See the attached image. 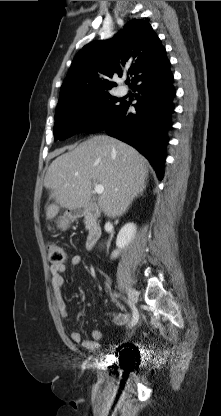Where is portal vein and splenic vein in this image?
Segmentation results:
<instances>
[{
    "mask_svg": "<svg viewBox=\"0 0 221 416\" xmlns=\"http://www.w3.org/2000/svg\"><path fill=\"white\" fill-rule=\"evenodd\" d=\"M94 190L98 195H101L104 192V187L101 184H97L94 182Z\"/></svg>",
    "mask_w": 221,
    "mask_h": 416,
    "instance_id": "1",
    "label": "portal vein and splenic vein"
}]
</instances>
